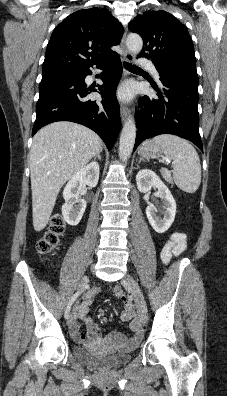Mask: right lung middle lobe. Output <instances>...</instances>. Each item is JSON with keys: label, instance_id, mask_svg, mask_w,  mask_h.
<instances>
[{"label": "right lung middle lobe", "instance_id": "right-lung-middle-lobe-1", "mask_svg": "<svg viewBox=\"0 0 227 396\" xmlns=\"http://www.w3.org/2000/svg\"><path fill=\"white\" fill-rule=\"evenodd\" d=\"M63 71H74V70H55V71H42V76L56 73V72H63Z\"/></svg>", "mask_w": 227, "mask_h": 396}]
</instances>
